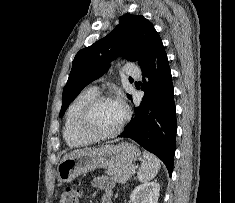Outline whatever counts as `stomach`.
<instances>
[{
	"mask_svg": "<svg viewBox=\"0 0 235 203\" xmlns=\"http://www.w3.org/2000/svg\"><path fill=\"white\" fill-rule=\"evenodd\" d=\"M139 157L140 150L128 142L79 150L62 158L57 167V177L60 182H71L96 168L132 164Z\"/></svg>",
	"mask_w": 235,
	"mask_h": 203,
	"instance_id": "stomach-1",
	"label": "stomach"
}]
</instances>
